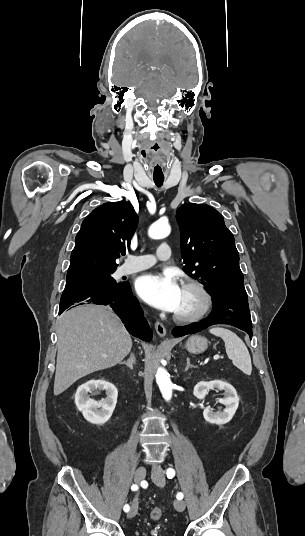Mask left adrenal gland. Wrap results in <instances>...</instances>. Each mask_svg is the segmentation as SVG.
<instances>
[{"instance_id":"a2214340","label":"left adrenal gland","mask_w":305,"mask_h":536,"mask_svg":"<svg viewBox=\"0 0 305 536\" xmlns=\"http://www.w3.org/2000/svg\"><path fill=\"white\" fill-rule=\"evenodd\" d=\"M187 360V366L185 368V372H187V370H189V368H194V366H192V364H190V358H186Z\"/></svg>"}]
</instances>
